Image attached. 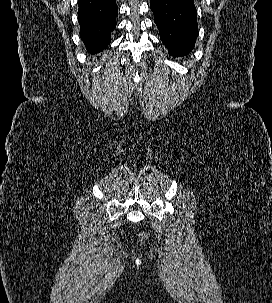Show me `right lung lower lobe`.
<instances>
[{
  "mask_svg": "<svg viewBox=\"0 0 272 303\" xmlns=\"http://www.w3.org/2000/svg\"><path fill=\"white\" fill-rule=\"evenodd\" d=\"M80 37L91 54L103 51L116 27V0H78Z\"/></svg>",
  "mask_w": 272,
  "mask_h": 303,
  "instance_id": "obj_1",
  "label": "right lung lower lobe"
}]
</instances>
